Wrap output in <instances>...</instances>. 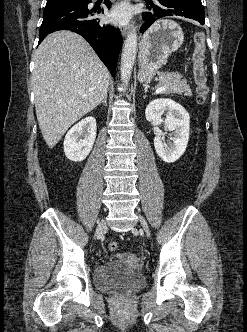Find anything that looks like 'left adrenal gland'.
<instances>
[{"label":"left adrenal gland","instance_id":"a2214340","mask_svg":"<svg viewBox=\"0 0 247 332\" xmlns=\"http://www.w3.org/2000/svg\"><path fill=\"white\" fill-rule=\"evenodd\" d=\"M143 98L145 99V98H146V95H144Z\"/></svg>","mask_w":247,"mask_h":332}]
</instances>
